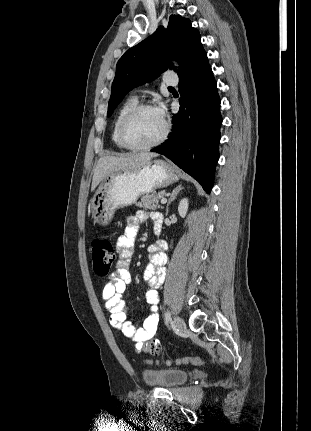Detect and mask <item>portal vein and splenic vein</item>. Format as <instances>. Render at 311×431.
<instances>
[{
  "mask_svg": "<svg viewBox=\"0 0 311 431\" xmlns=\"http://www.w3.org/2000/svg\"><path fill=\"white\" fill-rule=\"evenodd\" d=\"M160 204H167V198H162V200H160Z\"/></svg>",
  "mask_w": 311,
  "mask_h": 431,
  "instance_id": "18ae733b",
  "label": "portal vein and splenic vein"
}]
</instances>
